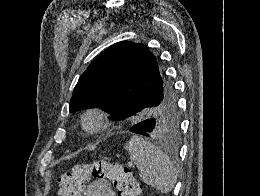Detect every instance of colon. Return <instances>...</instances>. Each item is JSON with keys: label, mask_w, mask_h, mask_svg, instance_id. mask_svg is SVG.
Returning a JSON list of instances; mask_svg holds the SVG:
<instances>
[{"label": "colon", "mask_w": 260, "mask_h": 196, "mask_svg": "<svg viewBox=\"0 0 260 196\" xmlns=\"http://www.w3.org/2000/svg\"><path fill=\"white\" fill-rule=\"evenodd\" d=\"M131 169L117 161L96 160L80 164L58 178V196H81L89 183L107 181L118 192H133Z\"/></svg>", "instance_id": "obj_1"}]
</instances>
